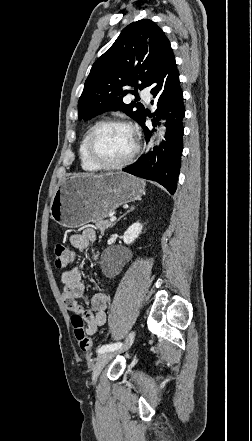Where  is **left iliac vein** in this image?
<instances>
[{
	"instance_id": "4c4485c4",
	"label": "left iliac vein",
	"mask_w": 252,
	"mask_h": 441,
	"mask_svg": "<svg viewBox=\"0 0 252 441\" xmlns=\"http://www.w3.org/2000/svg\"><path fill=\"white\" fill-rule=\"evenodd\" d=\"M134 341V332H131L125 342V346L122 350H127L131 347L132 343ZM117 354V351H107L102 354H100L96 360V364L93 367L92 372V380L95 382L101 373L104 366Z\"/></svg>"
}]
</instances>
